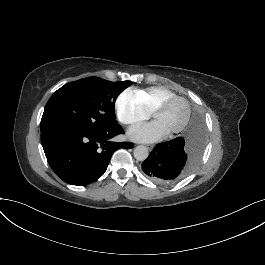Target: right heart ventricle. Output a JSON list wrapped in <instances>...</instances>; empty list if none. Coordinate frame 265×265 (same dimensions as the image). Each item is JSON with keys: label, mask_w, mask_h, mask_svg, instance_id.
Segmentation results:
<instances>
[{"label": "right heart ventricle", "mask_w": 265, "mask_h": 265, "mask_svg": "<svg viewBox=\"0 0 265 265\" xmlns=\"http://www.w3.org/2000/svg\"><path fill=\"white\" fill-rule=\"evenodd\" d=\"M135 96L142 101L144 106L151 112L155 104L161 99L173 95L166 87L154 86L144 90H135Z\"/></svg>", "instance_id": "e07e8e85"}]
</instances>
